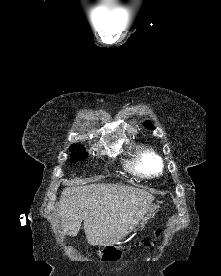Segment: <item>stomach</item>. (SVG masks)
<instances>
[{
  "mask_svg": "<svg viewBox=\"0 0 221 276\" xmlns=\"http://www.w3.org/2000/svg\"><path fill=\"white\" fill-rule=\"evenodd\" d=\"M157 209H158V205L156 203H152L149 209L147 210L146 214L144 215V217L140 220L138 224V229L144 228L145 224L156 213ZM138 229L134 228V231H137Z\"/></svg>",
  "mask_w": 221,
  "mask_h": 276,
  "instance_id": "stomach-1",
  "label": "stomach"
}]
</instances>
